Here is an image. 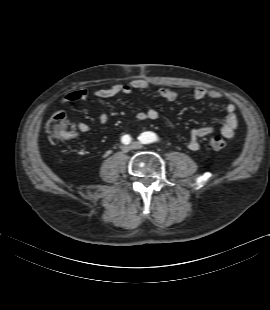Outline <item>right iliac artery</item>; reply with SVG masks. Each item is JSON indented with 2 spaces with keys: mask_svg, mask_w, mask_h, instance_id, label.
<instances>
[{
  "mask_svg": "<svg viewBox=\"0 0 270 310\" xmlns=\"http://www.w3.org/2000/svg\"><path fill=\"white\" fill-rule=\"evenodd\" d=\"M121 141H122L123 144H129L131 142V137L129 135H124L121 138Z\"/></svg>",
  "mask_w": 270,
  "mask_h": 310,
  "instance_id": "right-iliac-artery-1",
  "label": "right iliac artery"
}]
</instances>
